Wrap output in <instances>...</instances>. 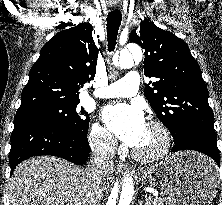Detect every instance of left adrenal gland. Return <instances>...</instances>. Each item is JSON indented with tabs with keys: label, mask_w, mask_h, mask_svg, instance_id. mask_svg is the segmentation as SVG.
Masks as SVG:
<instances>
[{
	"label": "left adrenal gland",
	"mask_w": 222,
	"mask_h": 205,
	"mask_svg": "<svg viewBox=\"0 0 222 205\" xmlns=\"http://www.w3.org/2000/svg\"><path fill=\"white\" fill-rule=\"evenodd\" d=\"M138 205H143V201L140 200V201L138 202Z\"/></svg>",
	"instance_id": "left-adrenal-gland-1"
}]
</instances>
